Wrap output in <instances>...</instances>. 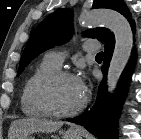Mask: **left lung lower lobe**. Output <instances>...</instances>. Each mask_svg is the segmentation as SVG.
I'll return each mask as SVG.
<instances>
[{
	"label": "left lung lower lobe",
	"mask_w": 141,
	"mask_h": 139,
	"mask_svg": "<svg viewBox=\"0 0 141 139\" xmlns=\"http://www.w3.org/2000/svg\"><path fill=\"white\" fill-rule=\"evenodd\" d=\"M131 28L134 31V23L131 24ZM114 45L115 38L112 36L105 43V57L104 64L102 66L104 78L100 83L97 100L94 106L90 111L85 112L83 115L73 119H68L69 122L84 125L89 132L99 139L117 138V117L127 93L134 65V61L130 62L126 70L123 72L119 83L118 94L116 96V100L114 101L112 99V95L108 94L106 91L107 72L112 58Z\"/></svg>",
	"instance_id": "obj_1"
}]
</instances>
